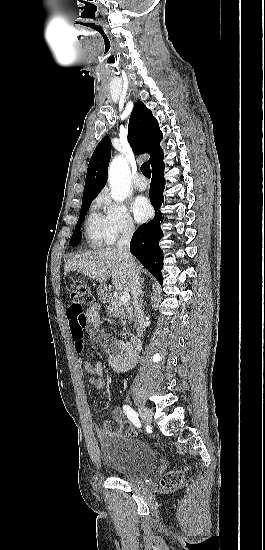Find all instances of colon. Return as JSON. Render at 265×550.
Returning <instances> with one entry per match:
<instances>
[{
  "instance_id": "colon-1",
  "label": "colon",
  "mask_w": 265,
  "mask_h": 550,
  "mask_svg": "<svg viewBox=\"0 0 265 550\" xmlns=\"http://www.w3.org/2000/svg\"><path fill=\"white\" fill-rule=\"evenodd\" d=\"M71 305L67 310V316L70 320L72 335L75 339L79 338L83 332L85 323L84 307L93 301V293L89 285L83 281L76 280L71 283L70 288ZM105 431L110 435H125L133 437L137 433L131 428L124 429L117 420H106L104 423ZM183 480L182 471H171L161 479V486L165 490H173L180 486Z\"/></svg>"
}]
</instances>
